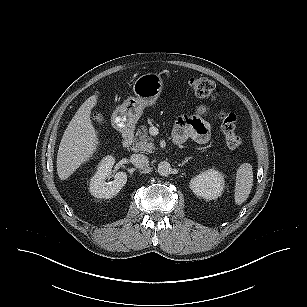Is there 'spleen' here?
Wrapping results in <instances>:
<instances>
[{
  "instance_id": "spleen-1",
  "label": "spleen",
  "mask_w": 307,
  "mask_h": 307,
  "mask_svg": "<svg viewBox=\"0 0 307 307\" xmlns=\"http://www.w3.org/2000/svg\"><path fill=\"white\" fill-rule=\"evenodd\" d=\"M253 186V168L249 163H243L237 170L234 199L237 205L244 203Z\"/></svg>"
}]
</instances>
